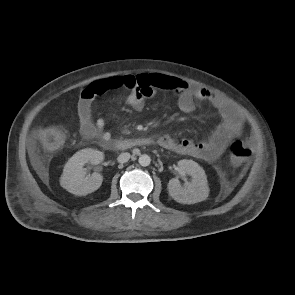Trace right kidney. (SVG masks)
Returning a JSON list of instances; mask_svg holds the SVG:
<instances>
[{"mask_svg": "<svg viewBox=\"0 0 295 295\" xmlns=\"http://www.w3.org/2000/svg\"><path fill=\"white\" fill-rule=\"evenodd\" d=\"M103 159L104 154L95 149L87 148L76 152L64 167L60 185L77 196H85L96 191L101 186L103 177L97 172L85 177L83 166L88 162L99 164Z\"/></svg>", "mask_w": 295, "mask_h": 295, "instance_id": "right-kidney-1", "label": "right kidney"}]
</instances>
